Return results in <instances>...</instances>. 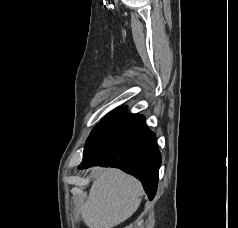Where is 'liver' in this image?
<instances>
[{
    "label": "liver",
    "mask_w": 238,
    "mask_h": 228,
    "mask_svg": "<svg viewBox=\"0 0 238 228\" xmlns=\"http://www.w3.org/2000/svg\"><path fill=\"white\" fill-rule=\"evenodd\" d=\"M141 183L114 168H96L87 200L79 205L89 228H113L130 218L141 203Z\"/></svg>",
    "instance_id": "liver-1"
}]
</instances>
